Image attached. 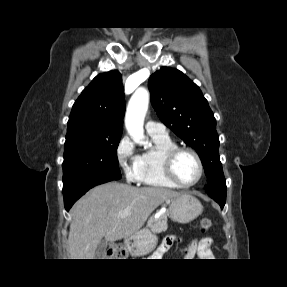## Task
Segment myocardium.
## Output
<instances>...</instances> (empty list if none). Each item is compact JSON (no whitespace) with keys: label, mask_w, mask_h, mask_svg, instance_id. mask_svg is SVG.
<instances>
[{"label":"myocardium","mask_w":287,"mask_h":287,"mask_svg":"<svg viewBox=\"0 0 287 287\" xmlns=\"http://www.w3.org/2000/svg\"><path fill=\"white\" fill-rule=\"evenodd\" d=\"M183 152L191 154L196 159L198 166H199V175L197 179L194 182L189 183V184H184L180 182V180L176 176L175 169H174V164H175V160L177 156ZM163 167H164L166 176L180 188L194 187L201 181L204 175V164H203V161L200 155L194 149L189 148V147L176 146L168 150L167 152H165L163 156Z\"/></svg>","instance_id":"1"}]
</instances>
